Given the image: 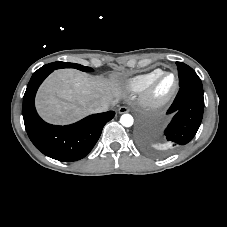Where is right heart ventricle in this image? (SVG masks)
I'll return each instance as SVG.
<instances>
[{"label":"right heart ventricle","instance_id":"obj_1","mask_svg":"<svg viewBox=\"0 0 227 227\" xmlns=\"http://www.w3.org/2000/svg\"><path fill=\"white\" fill-rule=\"evenodd\" d=\"M160 72V69H155L147 73L133 76L126 80L125 87L130 92H141L146 89V87Z\"/></svg>","mask_w":227,"mask_h":227}]
</instances>
